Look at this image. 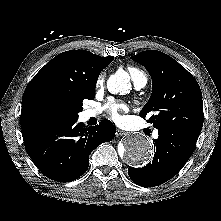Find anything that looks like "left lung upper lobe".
<instances>
[{
  "label": "left lung upper lobe",
  "instance_id": "5c2ea615",
  "mask_svg": "<svg viewBox=\"0 0 221 221\" xmlns=\"http://www.w3.org/2000/svg\"><path fill=\"white\" fill-rule=\"evenodd\" d=\"M149 71L152 94L139 113L158 131L173 130L198 139L203 126V101L195 78L176 60L155 50L131 57Z\"/></svg>",
  "mask_w": 221,
  "mask_h": 221
}]
</instances>
